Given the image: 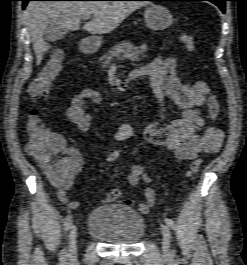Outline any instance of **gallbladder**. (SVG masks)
I'll list each match as a JSON object with an SVG mask.
<instances>
[{
  "mask_svg": "<svg viewBox=\"0 0 247 265\" xmlns=\"http://www.w3.org/2000/svg\"><path fill=\"white\" fill-rule=\"evenodd\" d=\"M68 33V29L55 24H50L44 31V37L49 42H55L64 38Z\"/></svg>",
  "mask_w": 247,
  "mask_h": 265,
  "instance_id": "1",
  "label": "gallbladder"
}]
</instances>
